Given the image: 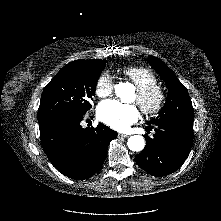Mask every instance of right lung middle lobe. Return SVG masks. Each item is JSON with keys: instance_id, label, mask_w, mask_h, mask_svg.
Wrapping results in <instances>:
<instances>
[{"instance_id": "right-lung-middle-lobe-1", "label": "right lung middle lobe", "mask_w": 221, "mask_h": 221, "mask_svg": "<svg viewBox=\"0 0 221 221\" xmlns=\"http://www.w3.org/2000/svg\"><path fill=\"white\" fill-rule=\"evenodd\" d=\"M105 62L76 60L65 65L44 88L38 122L64 116L84 115L91 107Z\"/></svg>"}]
</instances>
